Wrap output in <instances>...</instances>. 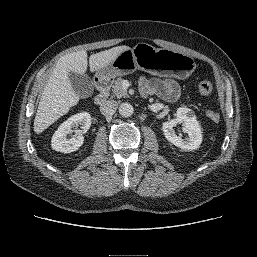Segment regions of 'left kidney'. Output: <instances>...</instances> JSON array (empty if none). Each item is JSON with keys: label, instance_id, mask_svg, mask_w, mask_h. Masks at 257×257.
Returning a JSON list of instances; mask_svg holds the SVG:
<instances>
[{"label": "left kidney", "instance_id": "left-kidney-1", "mask_svg": "<svg viewBox=\"0 0 257 257\" xmlns=\"http://www.w3.org/2000/svg\"><path fill=\"white\" fill-rule=\"evenodd\" d=\"M182 124L187 137L183 139L176 135L173 127ZM162 130L165 138L173 145L187 151L197 149L202 142V132L194 112L186 107L178 108L176 118L163 123Z\"/></svg>", "mask_w": 257, "mask_h": 257}]
</instances>
